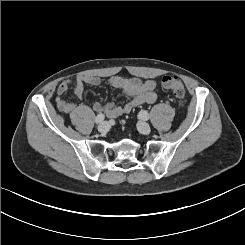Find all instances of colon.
<instances>
[{
    "label": "colon",
    "instance_id": "obj_1",
    "mask_svg": "<svg viewBox=\"0 0 245 245\" xmlns=\"http://www.w3.org/2000/svg\"><path fill=\"white\" fill-rule=\"evenodd\" d=\"M159 84L171 91L180 101H183L185 97V87L183 82L174 75H165L159 78Z\"/></svg>",
    "mask_w": 245,
    "mask_h": 245
}]
</instances>
